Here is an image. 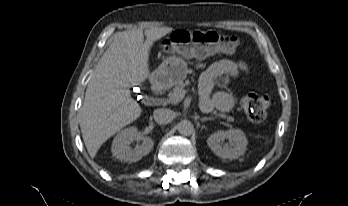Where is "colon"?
I'll use <instances>...</instances> for the list:
<instances>
[{"instance_id": "5ec220e1", "label": "colon", "mask_w": 348, "mask_h": 206, "mask_svg": "<svg viewBox=\"0 0 348 206\" xmlns=\"http://www.w3.org/2000/svg\"><path fill=\"white\" fill-rule=\"evenodd\" d=\"M198 39L214 46L220 52H232L238 44V38L234 35L215 31L179 30L164 41L162 51L165 54L183 53ZM241 107L251 121H263L269 111L270 97L260 92L248 93L241 99Z\"/></svg>"}]
</instances>
